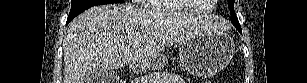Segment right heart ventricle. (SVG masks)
I'll list each match as a JSON object with an SVG mask.
<instances>
[{"label": "right heart ventricle", "mask_w": 307, "mask_h": 83, "mask_svg": "<svg viewBox=\"0 0 307 83\" xmlns=\"http://www.w3.org/2000/svg\"><path fill=\"white\" fill-rule=\"evenodd\" d=\"M147 7L159 13H176L182 12L184 9L189 11L185 7L183 8L177 0H150Z\"/></svg>", "instance_id": "e07e8e85"}]
</instances>
